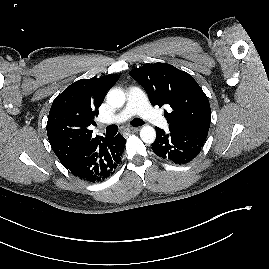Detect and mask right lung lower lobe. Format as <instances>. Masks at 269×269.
<instances>
[{
    "mask_svg": "<svg viewBox=\"0 0 269 269\" xmlns=\"http://www.w3.org/2000/svg\"><path fill=\"white\" fill-rule=\"evenodd\" d=\"M126 140L117 134L87 146L63 166L84 181L91 183L103 181L115 172L121 161Z\"/></svg>",
    "mask_w": 269,
    "mask_h": 269,
    "instance_id": "1",
    "label": "right lung lower lobe"
}]
</instances>
